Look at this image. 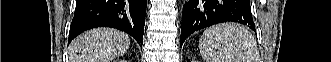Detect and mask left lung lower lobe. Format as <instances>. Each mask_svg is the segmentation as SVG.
<instances>
[{
    "label": "left lung lower lobe",
    "mask_w": 331,
    "mask_h": 62,
    "mask_svg": "<svg viewBox=\"0 0 331 62\" xmlns=\"http://www.w3.org/2000/svg\"><path fill=\"white\" fill-rule=\"evenodd\" d=\"M222 22H238L255 31L249 0H189L183 7L181 46L193 32Z\"/></svg>",
    "instance_id": "left-lung-lower-lobe-1"
}]
</instances>
